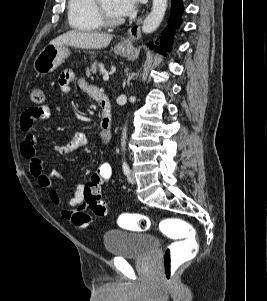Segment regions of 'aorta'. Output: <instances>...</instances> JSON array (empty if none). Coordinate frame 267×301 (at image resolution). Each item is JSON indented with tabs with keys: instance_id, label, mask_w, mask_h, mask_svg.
I'll return each instance as SVG.
<instances>
[{
	"instance_id": "1",
	"label": "aorta",
	"mask_w": 267,
	"mask_h": 301,
	"mask_svg": "<svg viewBox=\"0 0 267 301\" xmlns=\"http://www.w3.org/2000/svg\"><path fill=\"white\" fill-rule=\"evenodd\" d=\"M167 8V0H153L152 10L143 21L142 31L144 33H152L155 31L165 15ZM127 138V127L125 126L122 131L121 147L125 151Z\"/></svg>"
}]
</instances>
